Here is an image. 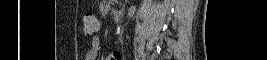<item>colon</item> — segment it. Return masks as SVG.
I'll return each mask as SVG.
<instances>
[{
  "label": "colon",
  "instance_id": "colon-1",
  "mask_svg": "<svg viewBox=\"0 0 267 60\" xmlns=\"http://www.w3.org/2000/svg\"><path fill=\"white\" fill-rule=\"evenodd\" d=\"M98 29V22L95 16L87 14L84 16V30L88 35H93Z\"/></svg>",
  "mask_w": 267,
  "mask_h": 60
}]
</instances>
